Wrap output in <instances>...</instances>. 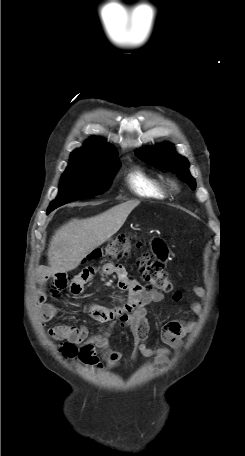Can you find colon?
<instances>
[{"instance_id":"1","label":"colon","mask_w":245,"mask_h":456,"mask_svg":"<svg viewBox=\"0 0 245 456\" xmlns=\"http://www.w3.org/2000/svg\"><path fill=\"white\" fill-rule=\"evenodd\" d=\"M140 248H142V243L140 241H134L132 236L128 234L119 235L108 242L105 247L94 250L90 254L89 259L96 260L102 257L125 259L131 256L134 249ZM136 264L141 277L147 283L150 290L171 294L176 301L181 299V293L175 290L173 283L163 271L162 264L151 253L142 252L137 257ZM61 350L69 357L76 355V348L70 343H65L61 347Z\"/></svg>"}]
</instances>
